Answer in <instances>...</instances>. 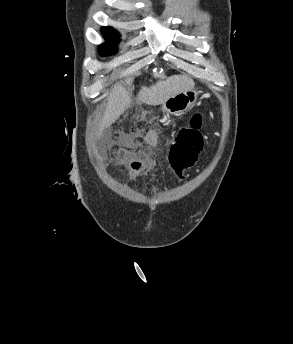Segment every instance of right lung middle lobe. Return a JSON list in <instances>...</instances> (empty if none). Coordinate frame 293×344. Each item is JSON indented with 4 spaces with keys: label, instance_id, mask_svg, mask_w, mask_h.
Instances as JSON below:
<instances>
[{
    "label": "right lung middle lobe",
    "instance_id": "1",
    "mask_svg": "<svg viewBox=\"0 0 293 344\" xmlns=\"http://www.w3.org/2000/svg\"><path fill=\"white\" fill-rule=\"evenodd\" d=\"M103 34L108 40L107 44H103L99 47V53L101 56H109L116 52L115 44L119 41V33L111 27H104L102 29Z\"/></svg>",
    "mask_w": 293,
    "mask_h": 344
}]
</instances>
